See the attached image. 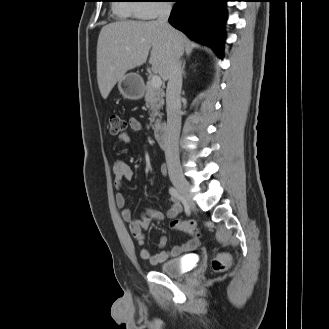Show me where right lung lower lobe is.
<instances>
[{
    "label": "right lung lower lobe",
    "instance_id": "right-lung-lower-lobe-1",
    "mask_svg": "<svg viewBox=\"0 0 329 329\" xmlns=\"http://www.w3.org/2000/svg\"><path fill=\"white\" fill-rule=\"evenodd\" d=\"M169 22L190 39L211 47L223 57L224 24L227 18L224 2L229 0H172Z\"/></svg>",
    "mask_w": 329,
    "mask_h": 329
}]
</instances>
